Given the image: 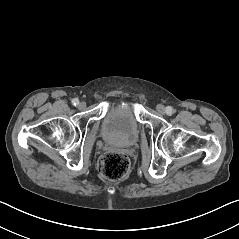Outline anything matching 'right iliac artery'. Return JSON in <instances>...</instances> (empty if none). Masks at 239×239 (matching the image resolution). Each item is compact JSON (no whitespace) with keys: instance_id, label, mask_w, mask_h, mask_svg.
<instances>
[{"instance_id":"82829eb1","label":"right iliac artery","mask_w":239,"mask_h":239,"mask_svg":"<svg viewBox=\"0 0 239 239\" xmlns=\"http://www.w3.org/2000/svg\"><path fill=\"white\" fill-rule=\"evenodd\" d=\"M72 103H73V105H78L79 104V100L77 99V98H74L73 100H72Z\"/></svg>"}]
</instances>
